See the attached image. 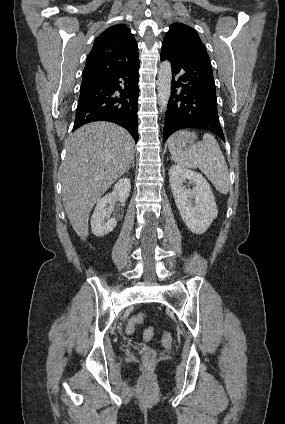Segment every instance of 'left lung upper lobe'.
I'll use <instances>...</instances> for the list:
<instances>
[{
  "instance_id": "5c2ea615",
  "label": "left lung upper lobe",
  "mask_w": 285,
  "mask_h": 424,
  "mask_svg": "<svg viewBox=\"0 0 285 424\" xmlns=\"http://www.w3.org/2000/svg\"><path fill=\"white\" fill-rule=\"evenodd\" d=\"M163 42L183 52L201 51L207 54L206 48L197 32L182 23L172 24Z\"/></svg>"
}]
</instances>
